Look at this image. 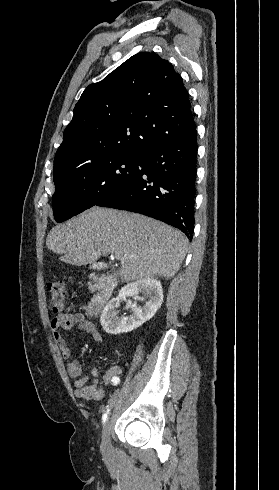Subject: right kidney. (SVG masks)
Segmentation results:
<instances>
[{
  "instance_id": "right-kidney-1",
  "label": "right kidney",
  "mask_w": 279,
  "mask_h": 490,
  "mask_svg": "<svg viewBox=\"0 0 279 490\" xmlns=\"http://www.w3.org/2000/svg\"><path fill=\"white\" fill-rule=\"evenodd\" d=\"M139 292L145 294L149 298L145 306H137L131 304L132 312L130 316H118L117 308H119L122 300L133 296L139 300ZM163 302V290L161 282L156 278H142L138 282L126 284L121 288L117 298H112L102 310L100 324L107 334H123V332H132L136 330L148 320L155 316L157 310L161 308Z\"/></svg>"
}]
</instances>
